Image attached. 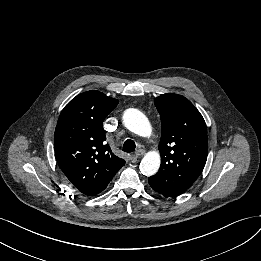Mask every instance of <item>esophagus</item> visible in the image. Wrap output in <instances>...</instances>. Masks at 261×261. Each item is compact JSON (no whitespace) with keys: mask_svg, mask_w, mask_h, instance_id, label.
Masks as SVG:
<instances>
[{"mask_svg":"<svg viewBox=\"0 0 261 261\" xmlns=\"http://www.w3.org/2000/svg\"><path fill=\"white\" fill-rule=\"evenodd\" d=\"M144 154H145V151L143 149H139V150L136 151L135 156L136 157H141Z\"/></svg>","mask_w":261,"mask_h":261,"instance_id":"34e87169","label":"esophagus"}]
</instances>
